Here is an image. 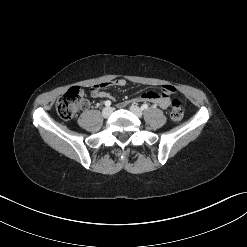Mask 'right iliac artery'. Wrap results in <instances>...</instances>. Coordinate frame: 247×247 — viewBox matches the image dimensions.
I'll list each match as a JSON object with an SVG mask.
<instances>
[{
  "mask_svg": "<svg viewBox=\"0 0 247 247\" xmlns=\"http://www.w3.org/2000/svg\"><path fill=\"white\" fill-rule=\"evenodd\" d=\"M110 105H111V101L110 100L105 101V106L109 107Z\"/></svg>",
  "mask_w": 247,
  "mask_h": 247,
  "instance_id": "right-iliac-artery-1",
  "label": "right iliac artery"
}]
</instances>
